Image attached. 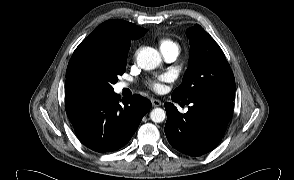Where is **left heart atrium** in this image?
I'll list each match as a JSON object with an SVG mask.
<instances>
[{
	"mask_svg": "<svg viewBox=\"0 0 294 180\" xmlns=\"http://www.w3.org/2000/svg\"><path fill=\"white\" fill-rule=\"evenodd\" d=\"M166 78L165 77H161L159 81H153L150 83V87L154 90V91H161L163 86L161 84V81H165Z\"/></svg>",
	"mask_w": 294,
	"mask_h": 180,
	"instance_id": "39dd6f15",
	"label": "left heart atrium"
}]
</instances>
